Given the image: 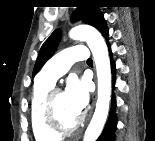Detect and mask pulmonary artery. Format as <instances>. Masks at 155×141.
Listing matches in <instances>:
<instances>
[{"instance_id":"e3ab8cb5","label":"pulmonary artery","mask_w":155,"mask_h":141,"mask_svg":"<svg viewBox=\"0 0 155 141\" xmlns=\"http://www.w3.org/2000/svg\"><path fill=\"white\" fill-rule=\"evenodd\" d=\"M88 57V49L85 46H71L56 54L38 75L39 81L55 84L70 66L78 61H85Z\"/></svg>"}]
</instances>
